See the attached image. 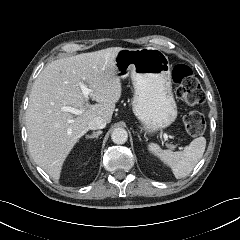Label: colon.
I'll list each match as a JSON object with an SVG mask.
<instances>
[{
	"instance_id": "1",
	"label": "colon",
	"mask_w": 240,
	"mask_h": 240,
	"mask_svg": "<svg viewBox=\"0 0 240 240\" xmlns=\"http://www.w3.org/2000/svg\"><path fill=\"white\" fill-rule=\"evenodd\" d=\"M171 76L177 86L176 95L180 100L189 106L203 103L205 99L203 89L190 67L183 64L176 65L172 69ZM183 122L186 131L192 136L202 134L206 126L203 114L197 111L185 114Z\"/></svg>"
}]
</instances>
